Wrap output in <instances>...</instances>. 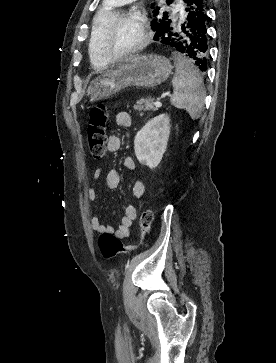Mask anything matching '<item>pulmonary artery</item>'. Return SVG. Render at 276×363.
<instances>
[{
  "label": "pulmonary artery",
  "instance_id": "1",
  "mask_svg": "<svg viewBox=\"0 0 276 363\" xmlns=\"http://www.w3.org/2000/svg\"><path fill=\"white\" fill-rule=\"evenodd\" d=\"M111 1L122 4V3H124L125 1H128V0H111ZM175 11H178V10L176 9Z\"/></svg>",
  "mask_w": 276,
  "mask_h": 363
}]
</instances>
